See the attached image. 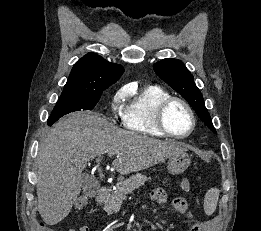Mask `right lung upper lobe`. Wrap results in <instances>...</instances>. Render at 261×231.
<instances>
[{"label":"right lung upper lobe","mask_w":261,"mask_h":231,"mask_svg":"<svg viewBox=\"0 0 261 231\" xmlns=\"http://www.w3.org/2000/svg\"><path fill=\"white\" fill-rule=\"evenodd\" d=\"M124 68L95 53H88L73 66L63 92H103L114 84Z\"/></svg>","instance_id":"right-lung-upper-lobe-1"}]
</instances>
